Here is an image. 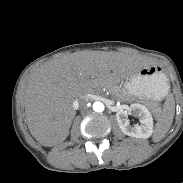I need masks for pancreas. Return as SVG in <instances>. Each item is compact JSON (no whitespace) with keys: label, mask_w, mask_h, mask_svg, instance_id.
<instances>
[{"label":"pancreas","mask_w":183,"mask_h":183,"mask_svg":"<svg viewBox=\"0 0 183 183\" xmlns=\"http://www.w3.org/2000/svg\"><path fill=\"white\" fill-rule=\"evenodd\" d=\"M117 95L123 99H130V97H131L127 92H125L123 90H119Z\"/></svg>","instance_id":"obj_1"}]
</instances>
